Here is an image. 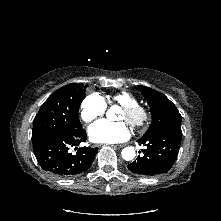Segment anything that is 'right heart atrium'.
I'll return each mask as SVG.
<instances>
[{
    "label": "right heart atrium",
    "mask_w": 221,
    "mask_h": 221,
    "mask_svg": "<svg viewBox=\"0 0 221 221\" xmlns=\"http://www.w3.org/2000/svg\"><path fill=\"white\" fill-rule=\"evenodd\" d=\"M107 109L105 100L98 94L87 95L80 105V118L85 123H91L101 117Z\"/></svg>",
    "instance_id": "obj_1"
}]
</instances>
